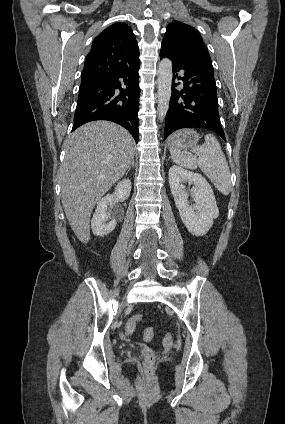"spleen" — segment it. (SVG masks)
Instances as JSON below:
<instances>
[{"instance_id": "obj_1", "label": "spleen", "mask_w": 285, "mask_h": 424, "mask_svg": "<svg viewBox=\"0 0 285 424\" xmlns=\"http://www.w3.org/2000/svg\"><path fill=\"white\" fill-rule=\"evenodd\" d=\"M172 160L185 168L201 171L211 180L217 190L223 195L231 191L230 169L221 146L212 134L205 136V143L195 146L191 152H182L180 149L170 147Z\"/></svg>"}]
</instances>
